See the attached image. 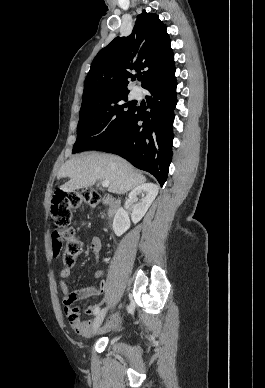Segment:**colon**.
<instances>
[{"label":"colon","instance_id":"1","mask_svg":"<svg viewBox=\"0 0 265 388\" xmlns=\"http://www.w3.org/2000/svg\"><path fill=\"white\" fill-rule=\"evenodd\" d=\"M100 201L99 193L91 189L82 191L57 190L55 192L51 204V215L56 226V230L52 234V245L54 255L64 265L72 266L83 248L71 227L72 210L82 203L96 206ZM69 318L72 321L77 319L75 315H71Z\"/></svg>","mask_w":265,"mask_h":388}]
</instances>
